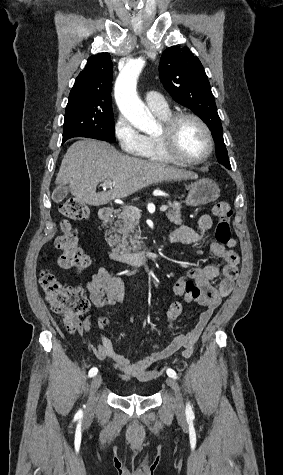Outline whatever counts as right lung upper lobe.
I'll use <instances>...</instances> for the list:
<instances>
[{
	"mask_svg": "<svg viewBox=\"0 0 283 475\" xmlns=\"http://www.w3.org/2000/svg\"><path fill=\"white\" fill-rule=\"evenodd\" d=\"M112 69L113 64L109 53L89 57L85 69L76 78L69 100L111 103Z\"/></svg>",
	"mask_w": 283,
	"mask_h": 475,
	"instance_id": "cb5924a9",
	"label": "right lung upper lobe"
}]
</instances>
